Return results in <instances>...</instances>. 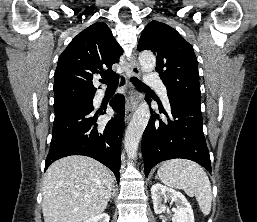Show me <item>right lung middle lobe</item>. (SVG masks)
I'll list each match as a JSON object with an SVG mask.
<instances>
[{"mask_svg":"<svg viewBox=\"0 0 257 222\" xmlns=\"http://www.w3.org/2000/svg\"><path fill=\"white\" fill-rule=\"evenodd\" d=\"M93 97L78 98L54 103L55 118L75 110L88 111L93 109Z\"/></svg>","mask_w":257,"mask_h":222,"instance_id":"right-lung-middle-lobe-1","label":"right lung middle lobe"}]
</instances>
